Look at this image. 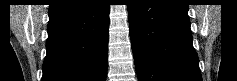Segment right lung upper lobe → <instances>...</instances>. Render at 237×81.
Returning <instances> with one entry per match:
<instances>
[{
    "label": "right lung upper lobe",
    "instance_id": "cb5924a9",
    "mask_svg": "<svg viewBox=\"0 0 237 81\" xmlns=\"http://www.w3.org/2000/svg\"><path fill=\"white\" fill-rule=\"evenodd\" d=\"M61 1H63V0H54L53 4H51V5L57 4V3L61 2Z\"/></svg>",
    "mask_w": 237,
    "mask_h": 81
}]
</instances>
